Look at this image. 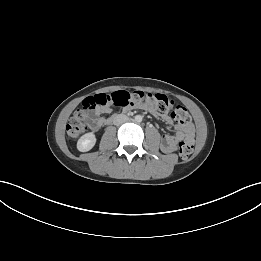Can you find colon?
Masks as SVG:
<instances>
[{
    "mask_svg": "<svg viewBox=\"0 0 261 261\" xmlns=\"http://www.w3.org/2000/svg\"><path fill=\"white\" fill-rule=\"evenodd\" d=\"M117 106L120 108H152L159 114H167L172 108V101L162 94H150L142 91H116L111 94H98L86 98L81 107L73 114L66 125V133L69 139L77 140L88 129L87 121L99 110H104L109 106ZM170 117L177 123L188 124L191 117L187 109L183 106H175ZM194 150L193 142L185 140L179 145V155L183 159L192 156Z\"/></svg>",
    "mask_w": 261,
    "mask_h": 261,
    "instance_id": "1",
    "label": "colon"
}]
</instances>
